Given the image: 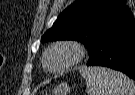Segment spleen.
<instances>
[{
    "mask_svg": "<svg viewBox=\"0 0 135 95\" xmlns=\"http://www.w3.org/2000/svg\"><path fill=\"white\" fill-rule=\"evenodd\" d=\"M88 95H135V83L120 72L104 67H80Z\"/></svg>",
    "mask_w": 135,
    "mask_h": 95,
    "instance_id": "spleen-1",
    "label": "spleen"
}]
</instances>
